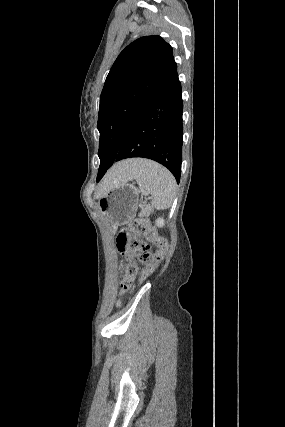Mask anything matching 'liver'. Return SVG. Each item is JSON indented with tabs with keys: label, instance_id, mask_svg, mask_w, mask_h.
<instances>
[{
	"label": "liver",
	"instance_id": "liver-1",
	"mask_svg": "<svg viewBox=\"0 0 285 427\" xmlns=\"http://www.w3.org/2000/svg\"><path fill=\"white\" fill-rule=\"evenodd\" d=\"M143 162L142 159H131L122 161L114 165L103 178L100 186V194H104L106 191L111 189L113 186L126 183L132 180L135 171Z\"/></svg>",
	"mask_w": 285,
	"mask_h": 427
}]
</instances>
